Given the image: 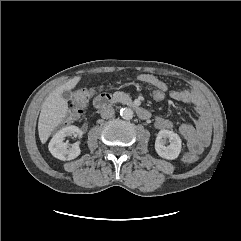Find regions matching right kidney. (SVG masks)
<instances>
[{"mask_svg": "<svg viewBox=\"0 0 241 241\" xmlns=\"http://www.w3.org/2000/svg\"><path fill=\"white\" fill-rule=\"evenodd\" d=\"M83 132L76 126H67L59 130L51 139L48 148L50 153L60 160H72L78 157L81 153L79 142L74 143L71 148L68 149L67 143L64 142L65 137L74 136L81 137Z\"/></svg>", "mask_w": 241, "mask_h": 241, "instance_id": "1", "label": "right kidney"}]
</instances>
